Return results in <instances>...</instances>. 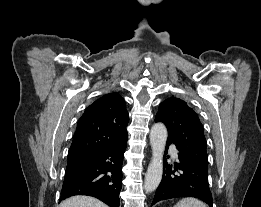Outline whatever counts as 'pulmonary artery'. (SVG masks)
<instances>
[{
    "instance_id": "e3ab8cb5",
    "label": "pulmonary artery",
    "mask_w": 261,
    "mask_h": 207,
    "mask_svg": "<svg viewBox=\"0 0 261 207\" xmlns=\"http://www.w3.org/2000/svg\"><path fill=\"white\" fill-rule=\"evenodd\" d=\"M173 156H174V157H177V155H176V153H175V152H173Z\"/></svg>"
}]
</instances>
